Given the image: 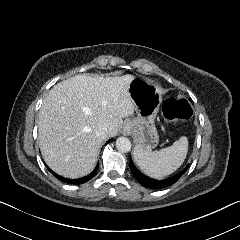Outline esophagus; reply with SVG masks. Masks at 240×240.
Wrapping results in <instances>:
<instances>
[{"instance_id": "obj_1", "label": "esophagus", "mask_w": 240, "mask_h": 240, "mask_svg": "<svg viewBox=\"0 0 240 240\" xmlns=\"http://www.w3.org/2000/svg\"><path fill=\"white\" fill-rule=\"evenodd\" d=\"M132 130V123L130 121H126L122 127L121 133L125 136L129 135Z\"/></svg>"}]
</instances>
